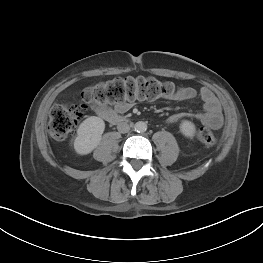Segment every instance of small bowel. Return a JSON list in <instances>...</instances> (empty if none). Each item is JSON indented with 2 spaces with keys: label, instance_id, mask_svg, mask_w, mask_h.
I'll return each instance as SVG.
<instances>
[{
  "label": "small bowel",
  "instance_id": "c3829d8e",
  "mask_svg": "<svg viewBox=\"0 0 263 263\" xmlns=\"http://www.w3.org/2000/svg\"><path fill=\"white\" fill-rule=\"evenodd\" d=\"M199 95L203 102V112L198 113H176L171 115L168 119V123H176L185 117H194L203 124L208 125L211 128L218 129L221 127L223 122V116L221 111V106L218 99L213 94V92L203 87L197 92L192 87H184L174 96V99L179 101H187L196 98ZM96 113L101 117L106 118V114H119L126 112L131 107V102H126L123 104L116 105L114 108L107 107L104 105L95 104L92 106Z\"/></svg>",
  "mask_w": 263,
  "mask_h": 263
}]
</instances>
